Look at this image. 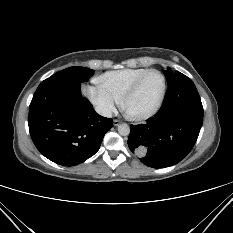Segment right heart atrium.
Instances as JSON below:
<instances>
[{
  "mask_svg": "<svg viewBox=\"0 0 233 233\" xmlns=\"http://www.w3.org/2000/svg\"><path fill=\"white\" fill-rule=\"evenodd\" d=\"M87 96L95 109L103 116H110L119 100L99 84L88 86Z\"/></svg>",
  "mask_w": 233,
  "mask_h": 233,
  "instance_id": "d8ad5b80",
  "label": "right heart atrium"
}]
</instances>
